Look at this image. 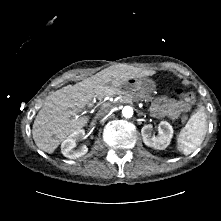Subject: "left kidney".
Instances as JSON below:
<instances>
[{
	"label": "left kidney",
	"instance_id": "obj_1",
	"mask_svg": "<svg viewBox=\"0 0 221 221\" xmlns=\"http://www.w3.org/2000/svg\"><path fill=\"white\" fill-rule=\"evenodd\" d=\"M151 130V125H145L141 129L144 144L154 149H165L170 144L171 138L173 137L172 126L167 121H161L158 125L159 136L157 137H151Z\"/></svg>",
	"mask_w": 221,
	"mask_h": 221
}]
</instances>
